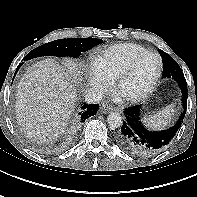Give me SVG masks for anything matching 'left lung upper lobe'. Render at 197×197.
I'll return each instance as SVG.
<instances>
[{"label": "left lung upper lobe", "mask_w": 197, "mask_h": 197, "mask_svg": "<svg viewBox=\"0 0 197 197\" xmlns=\"http://www.w3.org/2000/svg\"><path fill=\"white\" fill-rule=\"evenodd\" d=\"M162 60H163V77L164 78H173L178 83L180 82H186L184 74L180 68V66L177 64V62L169 56L167 53L162 51L161 49L158 50Z\"/></svg>", "instance_id": "5c2ea615"}]
</instances>
